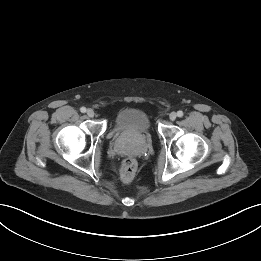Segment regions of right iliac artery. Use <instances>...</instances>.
I'll list each match as a JSON object with an SVG mask.
<instances>
[{
	"instance_id": "obj_1",
	"label": "right iliac artery",
	"mask_w": 261,
	"mask_h": 261,
	"mask_svg": "<svg viewBox=\"0 0 261 261\" xmlns=\"http://www.w3.org/2000/svg\"><path fill=\"white\" fill-rule=\"evenodd\" d=\"M80 111H81L82 113H85V112H86V108H85V107H81V108H80Z\"/></svg>"
}]
</instances>
